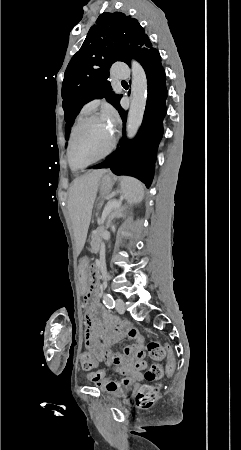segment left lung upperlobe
Masks as SVG:
<instances>
[{
    "label": "left lung upper lobe",
    "mask_w": 241,
    "mask_h": 450,
    "mask_svg": "<svg viewBox=\"0 0 241 450\" xmlns=\"http://www.w3.org/2000/svg\"><path fill=\"white\" fill-rule=\"evenodd\" d=\"M152 44L138 21L121 12L103 13L96 20L80 50L71 58L62 84L64 119L68 139L74 119L82 106L95 98H106L117 110L122 95L112 92L107 80L116 61L130 65Z\"/></svg>",
    "instance_id": "1"
}]
</instances>
